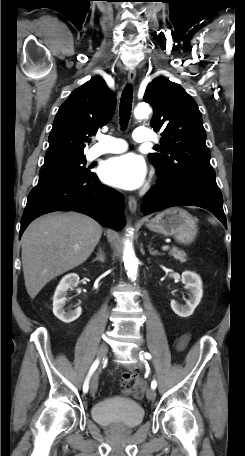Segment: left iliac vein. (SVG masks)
<instances>
[{"label":"left iliac vein","mask_w":245,"mask_h":456,"mask_svg":"<svg viewBox=\"0 0 245 456\" xmlns=\"http://www.w3.org/2000/svg\"><path fill=\"white\" fill-rule=\"evenodd\" d=\"M140 351L141 349L139 347H136L132 349L131 355L134 359L139 360L140 359ZM146 396L149 400H154L156 398V392L153 388H148L146 392Z\"/></svg>","instance_id":"left-iliac-vein-1"}]
</instances>
